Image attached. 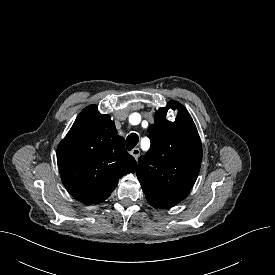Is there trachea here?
Returning a JSON list of instances; mask_svg holds the SVG:
<instances>
[{
    "label": "trachea",
    "mask_w": 275,
    "mask_h": 275,
    "mask_svg": "<svg viewBox=\"0 0 275 275\" xmlns=\"http://www.w3.org/2000/svg\"><path fill=\"white\" fill-rule=\"evenodd\" d=\"M139 137L136 133H131L126 138V148L127 150H132L138 143Z\"/></svg>",
    "instance_id": "trachea-1"
}]
</instances>
